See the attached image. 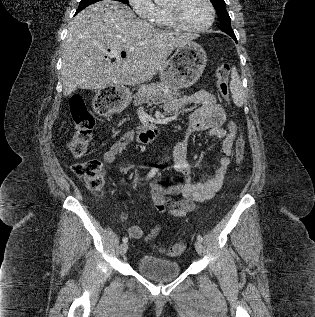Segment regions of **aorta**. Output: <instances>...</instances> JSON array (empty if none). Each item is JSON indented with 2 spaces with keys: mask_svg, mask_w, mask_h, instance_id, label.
Segmentation results:
<instances>
[{
  "mask_svg": "<svg viewBox=\"0 0 315 317\" xmlns=\"http://www.w3.org/2000/svg\"><path fill=\"white\" fill-rule=\"evenodd\" d=\"M155 2H159V1H161V0H154Z\"/></svg>",
  "mask_w": 315,
  "mask_h": 317,
  "instance_id": "762f6f07",
  "label": "aorta"
}]
</instances>
